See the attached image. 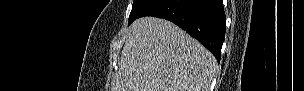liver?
<instances>
[{
	"label": "liver",
	"instance_id": "1",
	"mask_svg": "<svg viewBox=\"0 0 304 91\" xmlns=\"http://www.w3.org/2000/svg\"><path fill=\"white\" fill-rule=\"evenodd\" d=\"M217 61L170 21L143 17L127 30L111 91H208Z\"/></svg>",
	"mask_w": 304,
	"mask_h": 91
}]
</instances>
